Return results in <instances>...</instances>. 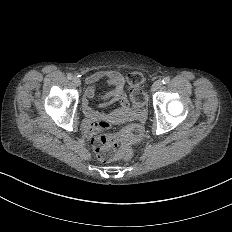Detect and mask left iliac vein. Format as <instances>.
Returning <instances> with one entry per match:
<instances>
[{
    "label": "left iliac vein",
    "mask_w": 232,
    "mask_h": 232,
    "mask_svg": "<svg viewBox=\"0 0 232 232\" xmlns=\"http://www.w3.org/2000/svg\"><path fill=\"white\" fill-rule=\"evenodd\" d=\"M163 83V80L161 78H158L155 83L152 85V89L150 90V93L153 95L154 93H157V89L161 88V85Z\"/></svg>",
    "instance_id": "left-iliac-vein-1"
}]
</instances>
